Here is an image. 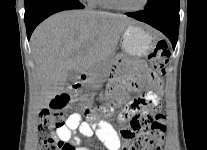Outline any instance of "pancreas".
I'll use <instances>...</instances> for the list:
<instances>
[{
	"mask_svg": "<svg viewBox=\"0 0 207 150\" xmlns=\"http://www.w3.org/2000/svg\"><path fill=\"white\" fill-rule=\"evenodd\" d=\"M105 66L98 65L95 69V75L93 79V83H98L101 81V78L106 74Z\"/></svg>",
	"mask_w": 207,
	"mask_h": 150,
	"instance_id": "cf45deb5",
	"label": "pancreas"
}]
</instances>
